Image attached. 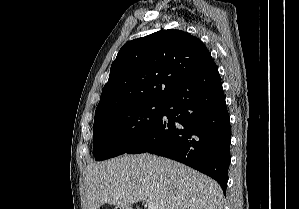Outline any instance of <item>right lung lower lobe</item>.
<instances>
[{"instance_id": "right-lung-lower-lobe-1", "label": "right lung lower lobe", "mask_w": 299, "mask_h": 209, "mask_svg": "<svg viewBox=\"0 0 299 209\" xmlns=\"http://www.w3.org/2000/svg\"><path fill=\"white\" fill-rule=\"evenodd\" d=\"M230 130L218 69L211 68L179 84L160 118L126 153L149 152L184 163L214 178L226 194Z\"/></svg>"}]
</instances>
